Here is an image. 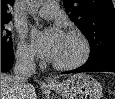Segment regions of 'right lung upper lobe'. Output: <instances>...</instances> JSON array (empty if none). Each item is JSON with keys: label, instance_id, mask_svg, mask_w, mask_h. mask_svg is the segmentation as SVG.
<instances>
[{"label": "right lung upper lobe", "instance_id": "1", "mask_svg": "<svg viewBox=\"0 0 115 99\" xmlns=\"http://www.w3.org/2000/svg\"><path fill=\"white\" fill-rule=\"evenodd\" d=\"M14 4V0H1V23H8L11 19L9 10Z\"/></svg>", "mask_w": 115, "mask_h": 99}]
</instances>
